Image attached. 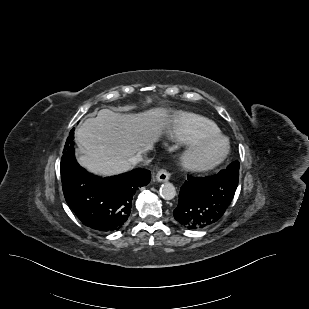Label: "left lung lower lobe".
I'll return each mask as SVG.
<instances>
[{
    "mask_svg": "<svg viewBox=\"0 0 309 309\" xmlns=\"http://www.w3.org/2000/svg\"><path fill=\"white\" fill-rule=\"evenodd\" d=\"M239 177L221 170L209 177H191L180 189L174 218L183 227L203 229L216 223L230 205Z\"/></svg>",
    "mask_w": 309,
    "mask_h": 309,
    "instance_id": "left-lung-lower-lobe-1",
    "label": "left lung lower lobe"
}]
</instances>
